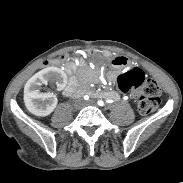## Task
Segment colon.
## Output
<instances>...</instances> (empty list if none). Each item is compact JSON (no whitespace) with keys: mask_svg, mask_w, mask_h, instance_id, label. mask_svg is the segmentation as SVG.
<instances>
[{"mask_svg":"<svg viewBox=\"0 0 183 183\" xmlns=\"http://www.w3.org/2000/svg\"><path fill=\"white\" fill-rule=\"evenodd\" d=\"M91 55H95L96 51L89 50ZM107 60L114 63L122 62L120 58L113 57L111 54H104ZM66 56L63 54L56 55L49 63L63 64ZM131 90H140L138 95V109L142 114H149L155 111L160 105L161 88L159 84L152 78H147L139 69H132L119 75L115 92L122 96Z\"/></svg>","mask_w":183,"mask_h":183,"instance_id":"5ec220e1","label":"colon"}]
</instances>
